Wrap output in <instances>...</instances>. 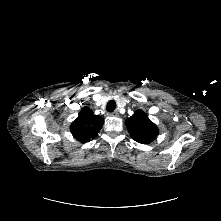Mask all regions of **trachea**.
<instances>
[{
  "label": "trachea",
  "instance_id": "obj_1",
  "mask_svg": "<svg viewBox=\"0 0 221 221\" xmlns=\"http://www.w3.org/2000/svg\"><path fill=\"white\" fill-rule=\"evenodd\" d=\"M115 108H116V102L114 100H111L107 103L106 110L108 112H113Z\"/></svg>",
  "mask_w": 221,
  "mask_h": 221
}]
</instances>
